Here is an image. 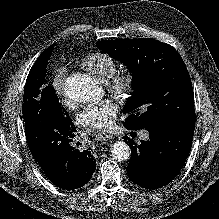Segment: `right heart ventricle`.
Listing matches in <instances>:
<instances>
[{"mask_svg":"<svg viewBox=\"0 0 219 219\" xmlns=\"http://www.w3.org/2000/svg\"><path fill=\"white\" fill-rule=\"evenodd\" d=\"M80 64L102 82L109 80L117 70L116 60L111 55L102 52L85 56Z\"/></svg>","mask_w":219,"mask_h":219,"instance_id":"right-heart-ventricle-1","label":"right heart ventricle"}]
</instances>
